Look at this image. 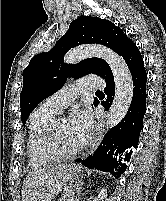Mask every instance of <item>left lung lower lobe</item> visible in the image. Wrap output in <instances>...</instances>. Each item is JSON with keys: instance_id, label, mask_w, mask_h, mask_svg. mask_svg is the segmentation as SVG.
<instances>
[{"instance_id": "obj_1", "label": "left lung lower lobe", "mask_w": 166, "mask_h": 201, "mask_svg": "<svg viewBox=\"0 0 166 201\" xmlns=\"http://www.w3.org/2000/svg\"><path fill=\"white\" fill-rule=\"evenodd\" d=\"M123 58L132 74L134 86L128 112L119 124L107 132L99 147L91 156L84 161L77 160L88 168L110 172L116 178H119L126 171L131 154L138 145L139 135L143 128V117L146 112L145 101L147 96V73L143 58L134 43L127 49ZM105 82L106 88L104 91L107 98L101 104L107 110L112 104L115 92L113 75L106 77Z\"/></svg>"}]
</instances>
